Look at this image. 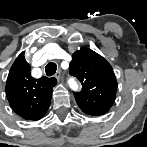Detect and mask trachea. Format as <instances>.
Segmentation results:
<instances>
[{"instance_id": "3493384b", "label": "trachea", "mask_w": 147, "mask_h": 147, "mask_svg": "<svg viewBox=\"0 0 147 147\" xmlns=\"http://www.w3.org/2000/svg\"><path fill=\"white\" fill-rule=\"evenodd\" d=\"M56 70H57V65H56V63H54V62L48 63V64L46 65V67H45V72H46V75H47V76H52V75H54L55 72H56Z\"/></svg>"}]
</instances>
